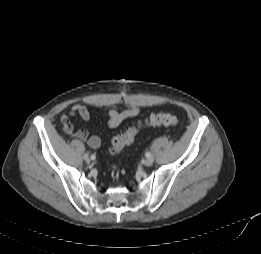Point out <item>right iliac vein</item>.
<instances>
[{
    "mask_svg": "<svg viewBox=\"0 0 261 254\" xmlns=\"http://www.w3.org/2000/svg\"><path fill=\"white\" fill-rule=\"evenodd\" d=\"M83 159H84L87 163H89V162L91 161V159L89 158V156H88L87 154H85V155L83 156Z\"/></svg>",
    "mask_w": 261,
    "mask_h": 254,
    "instance_id": "1",
    "label": "right iliac vein"
}]
</instances>
